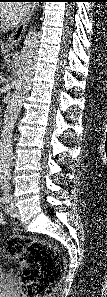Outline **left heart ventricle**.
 Segmentation results:
<instances>
[{
	"instance_id": "obj_1",
	"label": "left heart ventricle",
	"mask_w": 107,
	"mask_h": 297,
	"mask_svg": "<svg viewBox=\"0 0 107 297\" xmlns=\"http://www.w3.org/2000/svg\"><path fill=\"white\" fill-rule=\"evenodd\" d=\"M0 15H1V19L3 20V14H2V12H1V14H0Z\"/></svg>"
}]
</instances>
